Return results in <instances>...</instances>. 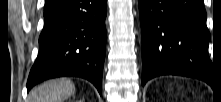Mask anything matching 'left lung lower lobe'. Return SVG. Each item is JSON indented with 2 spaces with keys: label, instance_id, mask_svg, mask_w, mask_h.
<instances>
[{
  "label": "left lung lower lobe",
  "instance_id": "obj_1",
  "mask_svg": "<svg viewBox=\"0 0 221 102\" xmlns=\"http://www.w3.org/2000/svg\"><path fill=\"white\" fill-rule=\"evenodd\" d=\"M142 35V85L160 75L212 83L211 39L203 0H138Z\"/></svg>",
  "mask_w": 221,
  "mask_h": 102
}]
</instances>
